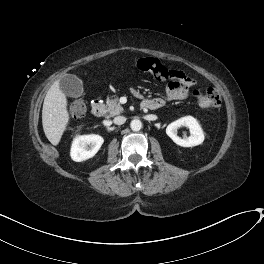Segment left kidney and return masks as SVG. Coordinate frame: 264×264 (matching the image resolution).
<instances>
[{"mask_svg":"<svg viewBox=\"0 0 264 264\" xmlns=\"http://www.w3.org/2000/svg\"><path fill=\"white\" fill-rule=\"evenodd\" d=\"M185 126L189 129L191 136L180 138L178 128ZM166 134L177 144L182 147H192L201 144L204 141V133L198 121L192 116L182 117L172 123L166 128Z\"/></svg>","mask_w":264,"mask_h":264,"instance_id":"left-kidney-1","label":"left kidney"}]
</instances>
